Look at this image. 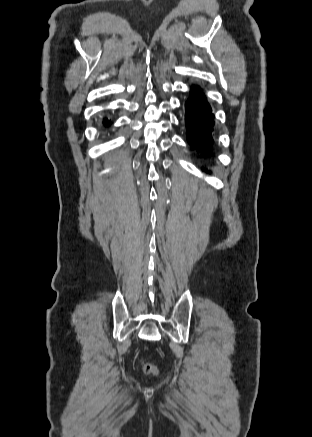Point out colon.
I'll return each mask as SVG.
<instances>
[{"label":"colon","instance_id":"1","mask_svg":"<svg viewBox=\"0 0 312 437\" xmlns=\"http://www.w3.org/2000/svg\"><path fill=\"white\" fill-rule=\"evenodd\" d=\"M143 371H144L146 374H152V373L155 372V366H154L153 364H151V363H145V364L143 365Z\"/></svg>","mask_w":312,"mask_h":437}]
</instances>
